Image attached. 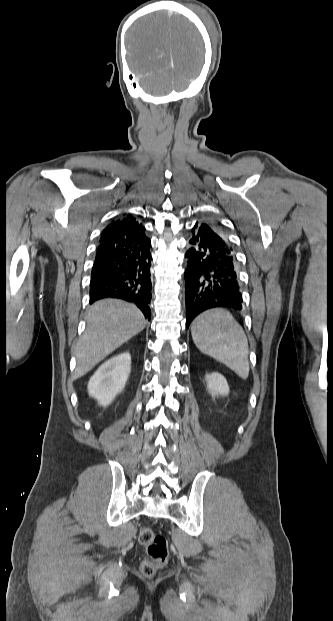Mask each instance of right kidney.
Wrapping results in <instances>:
<instances>
[{
  "label": "right kidney",
  "mask_w": 333,
  "mask_h": 621,
  "mask_svg": "<svg viewBox=\"0 0 333 621\" xmlns=\"http://www.w3.org/2000/svg\"><path fill=\"white\" fill-rule=\"evenodd\" d=\"M131 371L129 352L118 354L104 362L88 383L89 395L102 406H108L126 384Z\"/></svg>",
  "instance_id": "ca27d5eb"
}]
</instances>
